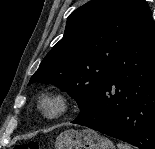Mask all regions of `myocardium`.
Returning <instances> with one entry per match:
<instances>
[{"label":"myocardium","instance_id":"obj_1","mask_svg":"<svg viewBox=\"0 0 155 149\" xmlns=\"http://www.w3.org/2000/svg\"><path fill=\"white\" fill-rule=\"evenodd\" d=\"M72 99L64 92H47L37 103L41 115L49 120H55L66 115L71 108Z\"/></svg>","mask_w":155,"mask_h":149}]
</instances>
